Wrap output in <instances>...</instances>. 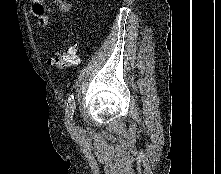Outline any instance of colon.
Returning <instances> with one entry per match:
<instances>
[{
    "mask_svg": "<svg viewBox=\"0 0 221 174\" xmlns=\"http://www.w3.org/2000/svg\"><path fill=\"white\" fill-rule=\"evenodd\" d=\"M50 64L59 68H71L80 63L77 47L70 45L64 50L56 51L49 60Z\"/></svg>",
    "mask_w": 221,
    "mask_h": 174,
    "instance_id": "5ec220e1",
    "label": "colon"
}]
</instances>
